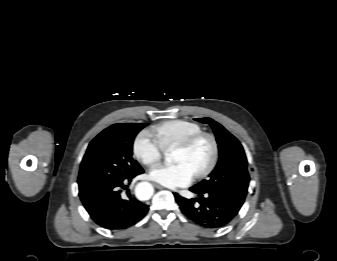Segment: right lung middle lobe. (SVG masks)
<instances>
[{"label":"right lung middle lobe","mask_w":337,"mask_h":261,"mask_svg":"<svg viewBox=\"0 0 337 261\" xmlns=\"http://www.w3.org/2000/svg\"><path fill=\"white\" fill-rule=\"evenodd\" d=\"M147 125V123L114 124L90 142L78 176L80 197L142 170L132 156V147L137 133Z\"/></svg>","instance_id":"right-lung-middle-lobe-1"}]
</instances>
